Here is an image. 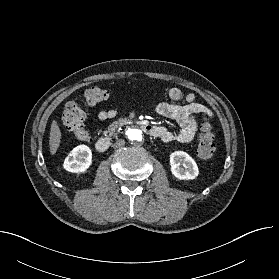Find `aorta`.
Returning <instances> with one entry per match:
<instances>
[{
  "label": "aorta",
  "mask_w": 279,
  "mask_h": 279,
  "mask_svg": "<svg viewBox=\"0 0 279 279\" xmlns=\"http://www.w3.org/2000/svg\"><path fill=\"white\" fill-rule=\"evenodd\" d=\"M126 134L128 139L132 142H140L142 140V132L137 128H128Z\"/></svg>",
  "instance_id": "aorta-1"
}]
</instances>
